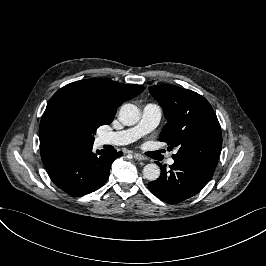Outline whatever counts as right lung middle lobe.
<instances>
[{"mask_svg":"<svg viewBox=\"0 0 266 266\" xmlns=\"http://www.w3.org/2000/svg\"><path fill=\"white\" fill-rule=\"evenodd\" d=\"M69 115L78 128L85 133V144L93 145L96 129L105 124L99 112L85 101L74 104Z\"/></svg>","mask_w":266,"mask_h":266,"instance_id":"obj_1","label":"right lung middle lobe"}]
</instances>
